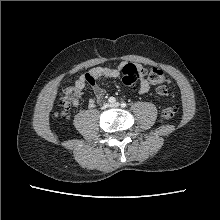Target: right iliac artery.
<instances>
[{"instance_id": "obj_1", "label": "right iliac artery", "mask_w": 220, "mask_h": 220, "mask_svg": "<svg viewBox=\"0 0 220 220\" xmlns=\"http://www.w3.org/2000/svg\"><path fill=\"white\" fill-rule=\"evenodd\" d=\"M115 101H116V99L114 97H110L108 99V102L111 103V104H113Z\"/></svg>"}]
</instances>
